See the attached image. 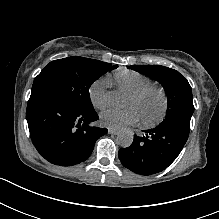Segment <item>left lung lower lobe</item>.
Wrapping results in <instances>:
<instances>
[{
    "label": "left lung lower lobe",
    "mask_w": 219,
    "mask_h": 219,
    "mask_svg": "<svg viewBox=\"0 0 219 219\" xmlns=\"http://www.w3.org/2000/svg\"><path fill=\"white\" fill-rule=\"evenodd\" d=\"M190 128L178 124H159L144 130L145 136H134L133 143L119 150L122 165L141 174L152 175L166 169L182 151Z\"/></svg>",
    "instance_id": "obj_1"
}]
</instances>
